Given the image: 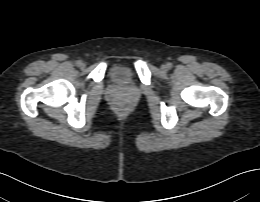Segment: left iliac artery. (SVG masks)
I'll return each mask as SVG.
<instances>
[{
  "label": "left iliac artery",
  "mask_w": 260,
  "mask_h": 202,
  "mask_svg": "<svg viewBox=\"0 0 260 202\" xmlns=\"http://www.w3.org/2000/svg\"><path fill=\"white\" fill-rule=\"evenodd\" d=\"M167 68L170 69L172 67V64L171 63H167Z\"/></svg>",
  "instance_id": "1"
}]
</instances>
